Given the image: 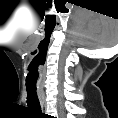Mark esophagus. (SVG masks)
<instances>
[{
    "instance_id": "esophagus-1",
    "label": "esophagus",
    "mask_w": 118,
    "mask_h": 118,
    "mask_svg": "<svg viewBox=\"0 0 118 118\" xmlns=\"http://www.w3.org/2000/svg\"><path fill=\"white\" fill-rule=\"evenodd\" d=\"M38 96H39V100H40L41 110H42V112H45L46 111L45 94L43 91H39Z\"/></svg>"
}]
</instances>
